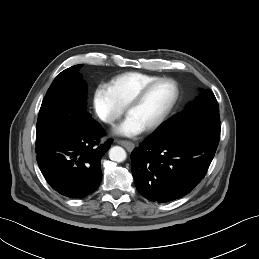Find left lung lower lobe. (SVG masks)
<instances>
[{
    "label": "left lung lower lobe",
    "mask_w": 259,
    "mask_h": 259,
    "mask_svg": "<svg viewBox=\"0 0 259 259\" xmlns=\"http://www.w3.org/2000/svg\"><path fill=\"white\" fill-rule=\"evenodd\" d=\"M220 130V125L192 123L163 139L146 138L131 153L138 192L159 203L189 193L207 173Z\"/></svg>",
    "instance_id": "left-lung-lower-lobe-1"
}]
</instances>
